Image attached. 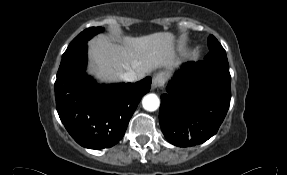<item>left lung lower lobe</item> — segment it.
<instances>
[{
    "label": "left lung lower lobe",
    "mask_w": 287,
    "mask_h": 175,
    "mask_svg": "<svg viewBox=\"0 0 287 175\" xmlns=\"http://www.w3.org/2000/svg\"><path fill=\"white\" fill-rule=\"evenodd\" d=\"M230 83L229 66L222 63L184 64L161 95L159 120L166 139L189 147L216 134L229 109Z\"/></svg>",
    "instance_id": "1"
}]
</instances>
